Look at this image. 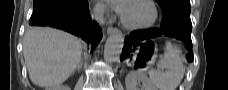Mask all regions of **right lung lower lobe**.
<instances>
[{
    "instance_id": "obj_1",
    "label": "right lung lower lobe",
    "mask_w": 228,
    "mask_h": 90,
    "mask_svg": "<svg viewBox=\"0 0 228 90\" xmlns=\"http://www.w3.org/2000/svg\"><path fill=\"white\" fill-rule=\"evenodd\" d=\"M29 24L65 30L81 37L92 48L102 38L101 28L92 23L87 0H34Z\"/></svg>"
}]
</instances>
